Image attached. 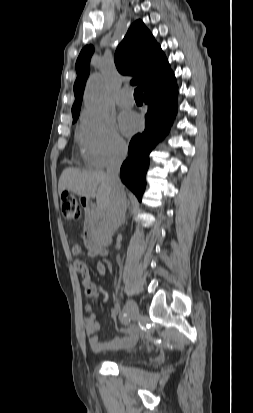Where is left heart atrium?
Here are the masks:
<instances>
[{
  "label": "left heart atrium",
  "instance_id": "obj_1",
  "mask_svg": "<svg viewBox=\"0 0 253 413\" xmlns=\"http://www.w3.org/2000/svg\"><path fill=\"white\" fill-rule=\"evenodd\" d=\"M141 126L140 117L133 112H125L120 116V127L126 135L135 133Z\"/></svg>",
  "mask_w": 253,
  "mask_h": 413
}]
</instances>
